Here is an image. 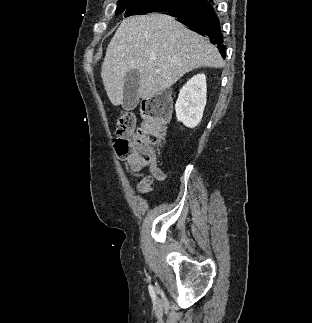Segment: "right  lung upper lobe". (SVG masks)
Wrapping results in <instances>:
<instances>
[{
  "mask_svg": "<svg viewBox=\"0 0 312 323\" xmlns=\"http://www.w3.org/2000/svg\"><path fill=\"white\" fill-rule=\"evenodd\" d=\"M170 11H172V10H168V11H165V12H170Z\"/></svg>",
  "mask_w": 312,
  "mask_h": 323,
  "instance_id": "1",
  "label": "right lung upper lobe"
}]
</instances>
